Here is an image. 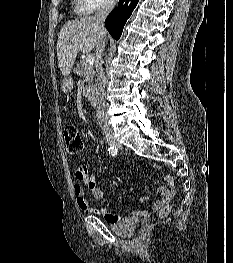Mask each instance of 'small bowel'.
<instances>
[{
    "instance_id": "small-bowel-1",
    "label": "small bowel",
    "mask_w": 233,
    "mask_h": 263,
    "mask_svg": "<svg viewBox=\"0 0 233 263\" xmlns=\"http://www.w3.org/2000/svg\"><path fill=\"white\" fill-rule=\"evenodd\" d=\"M76 179L85 184L89 189L91 195L96 200H102L104 194L102 190L99 188L97 183L94 180L93 174L89 171L88 167L85 165L78 164L75 171ZM165 181L167 183L166 186L159 187L157 192L160 196L153 204L154 210H160L165 207L171 200L172 196L175 194L176 187L174 183V179L172 176H165ZM73 191L76 197V202L78 207L87 214L95 213L98 216L102 217L108 223L118 222L123 219L122 216L109 212L106 208H93L88 200L85 197V190L80 183H75L73 185ZM141 214L146 215L147 211H141Z\"/></svg>"
}]
</instances>
